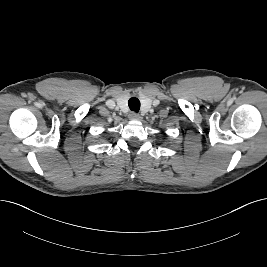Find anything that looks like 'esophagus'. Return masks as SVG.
Wrapping results in <instances>:
<instances>
[{"instance_id":"esophagus-1","label":"esophagus","mask_w":267,"mask_h":267,"mask_svg":"<svg viewBox=\"0 0 267 267\" xmlns=\"http://www.w3.org/2000/svg\"><path fill=\"white\" fill-rule=\"evenodd\" d=\"M129 119L130 120H141V116L135 112H131L129 114Z\"/></svg>"}]
</instances>
